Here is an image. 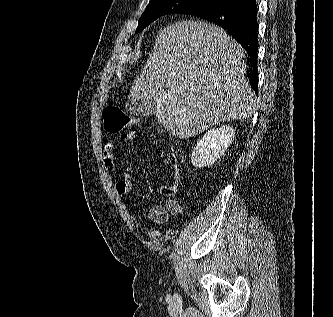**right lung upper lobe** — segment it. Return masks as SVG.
Returning a JSON list of instances; mask_svg holds the SVG:
<instances>
[{
	"mask_svg": "<svg viewBox=\"0 0 333 317\" xmlns=\"http://www.w3.org/2000/svg\"><path fill=\"white\" fill-rule=\"evenodd\" d=\"M228 2H235V1H237V0H227Z\"/></svg>",
	"mask_w": 333,
	"mask_h": 317,
	"instance_id": "cb5924a9",
	"label": "right lung upper lobe"
}]
</instances>
